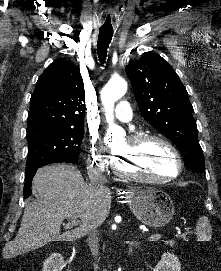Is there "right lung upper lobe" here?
I'll list each match as a JSON object with an SVG mask.
<instances>
[{
  "mask_svg": "<svg viewBox=\"0 0 221 271\" xmlns=\"http://www.w3.org/2000/svg\"><path fill=\"white\" fill-rule=\"evenodd\" d=\"M84 84L80 69L54 61L39 76L30 99L28 128L49 126L84 130Z\"/></svg>",
  "mask_w": 221,
  "mask_h": 271,
  "instance_id": "right-lung-upper-lobe-1",
  "label": "right lung upper lobe"
}]
</instances>
